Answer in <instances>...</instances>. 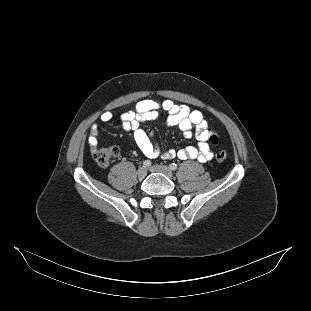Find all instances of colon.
Returning a JSON list of instances; mask_svg holds the SVG:
<instances>
[{
	"instance_id": "1",
	"label": "colon",
	"mask_w": 311,
	"mask_h": 311,
	"mask_svg": "<svg viewBox=\"0 0 311 311\" xmlns=\"http://www.w3.org/2000/svg\"><path fill=\"white\" fill-rule=\"evenodd\" d=\"M210 142L214 146L219 145V136L213 134L210 136ZM118 149L114 146L100 147L93 150V158L99 166H108L117 156ZM227 154L224 150H218L215 154V159L219 162L224 161Z\"/></svg>"
}]
</instances>
